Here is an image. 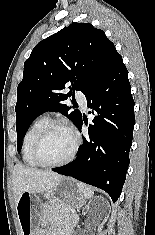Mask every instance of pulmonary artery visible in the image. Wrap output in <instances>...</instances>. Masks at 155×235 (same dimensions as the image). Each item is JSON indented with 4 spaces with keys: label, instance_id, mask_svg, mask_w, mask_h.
Masks as SVG:
<instances>
[{
    "label": "pulmonary artery",
    "instance_id": "pulmonary-artery-1",
    "mask_svg": "<svg viewBox=\"0 0 155 235\" xmlns=\"http://www.w3.org/2000/svg\"><path fill=\"white\" fill-rule=\"evenodd\" d=\"M76 100H77L84 108H86L87 101H86V97L84 96L83 93L77 92V93H76Z\"/></svg>",
    "mask_w": 155,
    "mask_h": 235
}]
</instances>
